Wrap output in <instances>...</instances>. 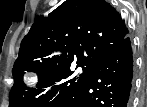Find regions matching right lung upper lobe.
Returning <instances> with one entry per match:
<instances>
[{
	"instance_id": "cb5924a9",
	"label": "right lung upper lobe",
	"mask_w": 147,
	"mask_h": 107,
	"mask_svg": "<svg viewBox=\"0 0 147 107\" xmlns=\"http://www.w3.org/2000/svg\"><path fill=\"white\" fill-rule=\"evenodd\" d=\"M125 20L105 0H66L48 17L35 19L21 42L13 71L96 67L128 35Z\"/></svg>"
}]
</instances>
